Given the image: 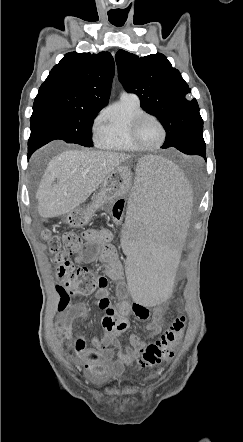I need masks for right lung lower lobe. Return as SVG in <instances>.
Wrapping results in <instances>:
<instances>
[{
  "label": "right lung lower lobe",
  "instance_id": "1",
  "mask_svg": "<svg viewBox=\"0 0 243 442\" xmlns=\"http://www.w3.org/2000/svg\"><path fill=\"white\" fill-rule=\"evenodd\" d=\"M57 139L55 135H49L44 133H31L28 141V157L41 146L47 144L48 142Z\"/></svg>",
  "mask_w": 243,
  "mask_h": 442
}]
</instances>
